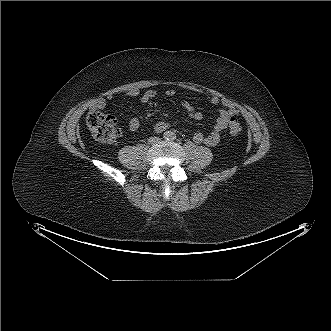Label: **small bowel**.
<instances>
[{
	"mask_svg": "<svg viewBox=\"0 0 331 331\" xmlns=\"http://www.w3.org/2000/svg\"><path fill=\"white\" fill-rule=\"evenodd\" d=\"M177 94V91L174 89L167 90L165 95L168 97H173ZM125 97L138 98L142 103L147 104L150 108L155 109L158 107V102L156 100L157 92L152 89L141 90L139 88H133L123 93ZM114 98L113 94L107 95L108 100H112ZM208 101H210L214 105H219L221 109L219 110L218 117L216 118L215 124L213 126L212 131L208 135H204L201 132H197L193 135V141L196 144H204L206 146L214 147L219 144L221 139V133L224 131L230 119L233 116L238 115L239 110L236 105L229 99L220 97L217 95H209L206 97ZM106 105V101L103 98H98L92 103V109H103ZM182 105L187 110L188 118L194 121H200L203 118V115L200 111H198L195 107H193L188 101L183 100ZM128 129L130 131H136L140 127V120L138 117H133L128 122ZM169 124L164 121L157 122L154 125V129L156 132H163Z\"/></svg>",
	"mask_w": 331,
	"mask_h": 331,
	"instance_id": "1",
	"label": "small bowel"
}]
</instances>
